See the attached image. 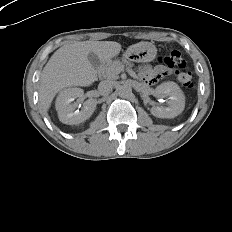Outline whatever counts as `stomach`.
Segmentation results:
<instances>
[{
  "mask_svg": "<svg viewBox=\"0 0 232 232\" xmlns=\"http://www.w3.org/2000/svg\"><path fill=\"white\" fill-rule=\"evenodd\" d=\"M157 48L152 43H145L133 52L125 53V57L137 62H150L155 59Z\"/></svg>",
  "mask_w": 232,
  "mask_h": 232,
  "instance_id": "0dacf381",
  "label": "stomach"
}]
</instances>
